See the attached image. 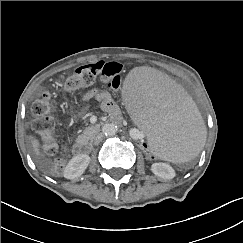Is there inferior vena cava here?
Listing matches in <instances>:
<instances>
[{
	"instance_id": "obj_1",
	"label": "inferior vena cava",
	"mask_w": 243,
	"mask_h": 243,
	"mask_svg": "<svg viewBox=\"0 0 243 243\" xmlns=\"http://www.w3.org/2000/svg\"><path fill=\"white\" fill-rule=\"evenodd\" d=\"M103 137H104L103 133H99L96 137H94L92 143L94 145H98L102 141Z\"/></svg>"
}]
</instances>
